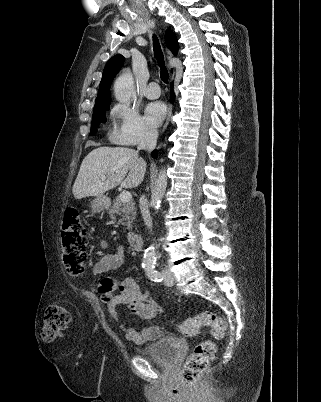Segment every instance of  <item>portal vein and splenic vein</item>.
Returning a JSON list of instances; mask_svg holds the SVG:
<instances>
[{
	"instance_id": "portal-vein-and-splenic-vein-1",
	"label": "portal vein and splenic vein",
	"mask_w": 321,
	"mask_h": 402,
	"mask_svg": "<svg viewBox=\"0 0 321 402\" xmlns=\"http://www.w3.org/2000/svg\"><path fill=\"white\" fill-rule=\"evenodd\" d=\"M101 178L105 179L106 176L103 175ZM119 197H120L122 202H128V201L131 200L132 195H131V193L129 191H123V192L120 193Z\"/></svg>"
}]
</instances>
